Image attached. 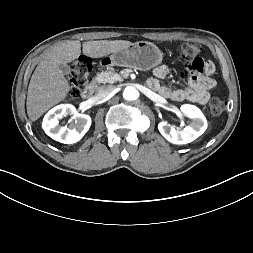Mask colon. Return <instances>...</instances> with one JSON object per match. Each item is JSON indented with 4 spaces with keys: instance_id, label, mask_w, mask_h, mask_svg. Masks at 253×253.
I'll use <instances>...</instances> for the list:
<instances>
[{
    "instance_id": "5ec220e1",
    "label": "colon",
    "mask_w": 253,
    "mask_h": 253,
    "mask_svg": "<svg viewBox=\"0 0 253 253\" xmlns=\"http://www.w3.org/2000/svg\"><path fill=\"white\" fill-rule=\"evenodd\" d=\"M201 45L197 43H186L180 47L179 53L183 61V66L187 65L196 57H200ZM92 72V62L88 57H81L76 60L71 67L68 78V95L77 98L81 95L89 82ZM209 109L213 116H221L225 109V104L220 98H213L209 103Z\"/></svg>"
}]
</instances>
